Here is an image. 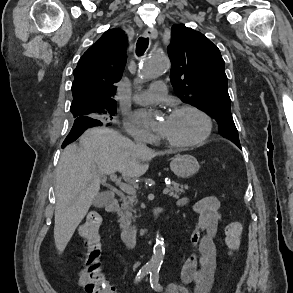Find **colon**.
I'll return each instance as SVG.
<instances>
[{
	"label": "colon",
	"mask_w": 293,
	"mask_h": 293,
	"mask_svg": "<svg viewBox=\"0 0 293 293\" xmlns=\"http://www.w3.org/2000/svg\"><path fill=\"white\" fill-rule=\"evenodd\" d=\"M100 224V214L91 211L78 231L84 241L79 281L85 293H115V288L107 280L101 266ZM241 233L242 226L238 221H232L226 226L225 245L230 254L238 250Z\"/></svg>",
	"instance_id": "5ec220e1"
}]
</instances>
